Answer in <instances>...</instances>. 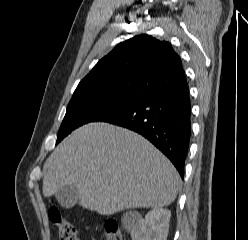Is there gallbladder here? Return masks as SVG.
<instances>
[{
	"instance_id": "1",
	"label": "gallbladder",
	"mask_w": 248,
	"mask_h": 240,
	"mask_svg": "<svg viewBox=\"0 0 248 240\" xmlns=\"http://www.w3.org/2000/svg\"><path fill=\"white\" fill-rule=\"evenodd\" d=\"M58 203L66 209L72 208L78 201L79 190L74 185H67L55 193Z\"/></svg>"
}]
</instances>
